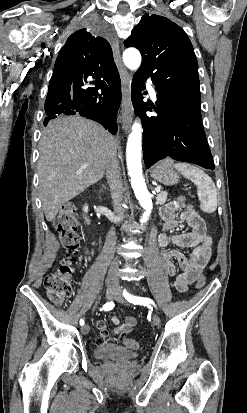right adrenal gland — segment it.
<instances>
[{"label":"right adrenal gland","mask_w":247,"mask_h":413,"mask_svg":"<svg viewBox=\"0 0 247 413\" xmlns=\"http://www.w3.org/2000/svg\"><path fill=\"white\" fill-rule=\"evenodd\" d=\"M103 188H107V186H105V184H102Z\"/></svg>","instance_id":"right-adrenal-gland-1"}]
</instances>
